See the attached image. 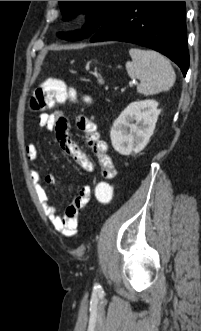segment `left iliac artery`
I'll list each match as a JSON object with an SVG mask.
<instances>
[{"label":"left iliac artery","instance_id":"left-iliac-artery-1","mask_svg":"<svg viewBox=\"0 0 201 331\" xmlns=\"http://www.w3.org/2000/svg\"><path fill=\"white\" fill-rule=\"evenodd\" d=\"M100 287V285L99 284H95V286H94V288H99Z\"/></svg>","mask_w":201,"mask_h":331}]
</instances>
